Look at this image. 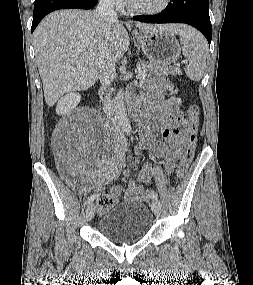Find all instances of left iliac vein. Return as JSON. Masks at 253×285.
Masks as SVG:
<instances>
[{
    "mask_svg": "<svg viewBox=\"0 0 253 285\" xmlns=\"http://www.w3.org/2000/svg\"><path fill=\"white\" fill-rule=\"evenodd\" d=\"M151 208H152L153 213L156 216H160V214H161V204H160V202L158 200H153L152 201Z\"/></svg>",
    "mask_w": 253,
    "mask_h": 285,
    "instance_id": "left-iliac-vein-1",
    "label": "left iliac vein"
}]
</instances>
